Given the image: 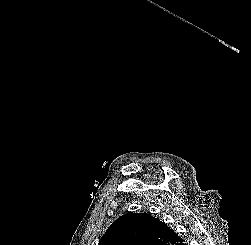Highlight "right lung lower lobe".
Returning <instances> with one entry per match:
<instances>
[{
    "mask_svg": "<svg viewBox=\"0 0 251 245\" xmlns=\"http://www.w3.org/2000/svg\"><path fill=\"white\" fill-rule=\"evenodd\" d=\"M176 245H187V244H185L182 240H180V242H178Z\"/></svg>",
    "mask_w": 251,
    "mask_h": 245,
    "instance_id": "obj_1",
    "label": "right lung lower lobe"
}]
</instances>
